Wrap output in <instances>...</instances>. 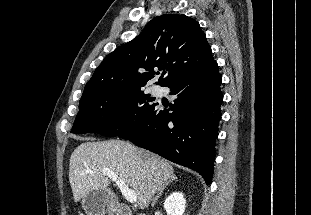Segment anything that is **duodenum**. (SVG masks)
<instances>
[{
	"label": "duodenum",
	"instance_id": "1",
	"mask_svg": "<svg viewBox=\"0 0 311 215\" xmlns=\"http://www.w3.org/2000/svg\"><path fill=\"white\" fill-rule=\"evenodd\" d=\"M114 215H133L130 208L126 205H118L114 210ZM137 215H146V214H137Z\"/></svg>",
	"mask_w": 311,
	"mask_h": 215
}]
</instances>
